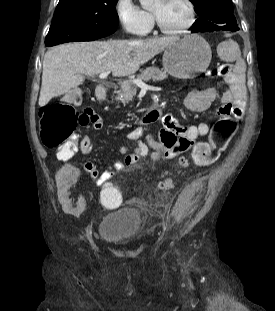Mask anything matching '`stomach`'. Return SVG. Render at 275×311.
I'll return each instance as SVG.
<instances>
[{
	"label": "stomach",
	"mask_w": 275,
	"mask_h": 311,
	"mask_svg": "<svg viewBox=\"0 0 275 311\" xmlns=\"http://www.w3.org/2000/svg\"><path fill=\"white\" fill-rule=\"evenodd\" d=\"M212 51L198 34L176 37L165 49L162 62L165 72L179 79H191L209 67Z\"/></svg>",
	"instance_id": "stomach-1"
}]
</instances>
